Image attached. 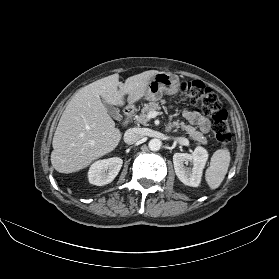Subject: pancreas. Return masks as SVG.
<instances>
[{"label": "pancreas", "mask_w": 279, "mask_h": 279, "mask_svg": "<svg viewBox=\"0 0 279 279\" xmlns=\"http://www.w3.org/2000/svg\"><path fill=\"white\" fill-rule=\"evenodd\" d=\"M165 103V101H163ZM161 107L159 103L156 102H149L148 104L143 107L141 110V114L136 118L137 122L143 125H147V115L151 111H158ZM174 115L169 116V120H172ZM173 126L176 128H181L182 130H185L187 134H189V137L196 141L198 144H207V138L204 137V135L196 131V129L190 125H185L184 122H179V120H176L173 122Z\"/></svg>", "instance_id": "obj_1"}]
</instances>
